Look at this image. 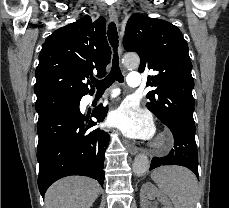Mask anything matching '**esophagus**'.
<instances>
[{
	"label": "esophagus",
	"mask_w": 229,
	"mask_h": 208,
	"mask_svg": "<svg viewBox=\"0 0 229 208\" xmlns=\"http://www.w3.org/2000/svg\"><path fill=\"white\" fill-rule=\"evenodd\" d=\"M108 13H109L110 20L112 22L118 24V16H117L116 10L113 7H110L109 10H108ZM118 56L120 58L122 56V46H121V44L118 47ZM123 143H124V145L126 146L127 150L129 151V153L131 155H136V153L138 151V148L135 145H133L131 142H129L127 140H124Z\"/></svg>",
	"instance_id": "34e87169"
}]
</instances>
